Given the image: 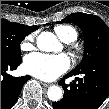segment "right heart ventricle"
<instances>
[{
    "label": "right heart ventricle",
    "mask_w": 109,
    "mask_h": 109,
    "mask_svg": "<svg viewBox=\"0 0 109 109\" xmlns=\"http://www.w3.org/2000/svg\"><path fill=\"white\" fill-rule=\"evenodd\" d=\"M56 35L64 42L71 43L78 37L76 29L70 25L62 24L54 28Z\"/></svg>",
    "instance_id": "right-heart-ventricle-1"
}]
</instances>
